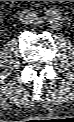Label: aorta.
<instances>
[{"instance_id": "aorta-1", "label": "aorta", "mask_w": 74, "mask_h": 122, "mask_svg": "<svg viewBox=\"0 0 74 122\" xmlns=\"http://www.w3.org/2000/svg\"><path fill=\"white\" fill-rule=\"evenodd\" d=\"M46 20L49 22V23H54L56 22V18L51 16L50 14H46Z\"/></svg>"}]
</instances>
